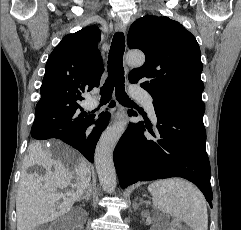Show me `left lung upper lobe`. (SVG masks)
Masks as SVG:
<instances>
[{"label":"left lung upper lobe","mask_w":241,"mask_h":230,"mask_svg":"<svg viewBox=\"0 0 241 230\" xmlns=\"http://www.w3.org/2000/svg\"><path fill=\"white\" fill-rule=\"evenodd\" d=\"M127 42L146 56L144 65L130 72L131 83L140 81L154 102L204 114L201 53L189 31L168 17L149 15L131 25Z\"/></svg>","instance_id":"5c2ea615"}]
</instances>
